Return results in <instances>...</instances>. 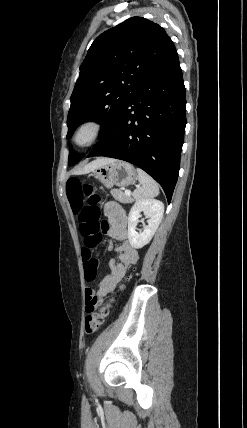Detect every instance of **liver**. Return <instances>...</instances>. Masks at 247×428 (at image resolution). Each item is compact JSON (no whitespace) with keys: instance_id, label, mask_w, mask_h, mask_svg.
<instances>
[{"instance_id":"1","label":"liver","mask_w":247,"mask_h":428,"mask_svg":"<svg viewBox=\"0 0 247 428\" xmlns=\"http://www.w3.org/2000/svg\"><path fill=\"white\" fill-rule=\"evenodd\" d=\"M116 161L113 158H98L92 162H90L89 164H86L84 167H82L81 169L78 170V173L80 174H87L93 170H95L96 168L108 164V163H112Z\"/></svg>"}]
</instances>
